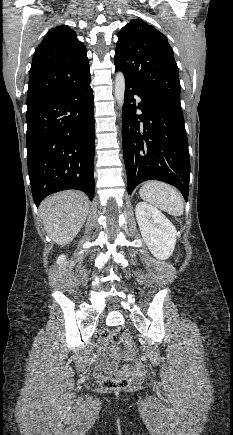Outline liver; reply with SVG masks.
<instances>
[{"instance_id":"liver-1","label":"liver","mask_w":233,"mask_h":435,"mask_svg":"<svg viewBox=\"0 0 233 435\" xmlns=\"http://www.w3.org/2000/svg\"><path fill=\"white\" fill-rule=\"evenodd\" d=\"M88 211V197L75 190L48 196L39 207L44 228L58 245L69 244L77 236Z\"/></svg>"}]
</instances>
